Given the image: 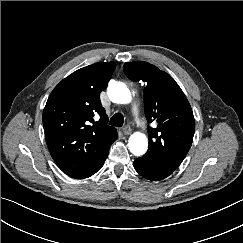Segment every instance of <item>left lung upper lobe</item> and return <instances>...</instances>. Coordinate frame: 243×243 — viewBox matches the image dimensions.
<instances>
[{
  "instance_id": "left-lung-upper-lobe-1",
  "label": "left lung upper lobe",
  "mask_w": 243,
  "mask_h": 243,
  "mask_svg": "<svg viewBox=\"0 0 243 243\" xmlns=\"http://www.w3.org/2000/svg\"><path fill=\"white\" fill-rule=\"evenodd\" d=\"M133 81L143 80L145 115L149 123V149L141 158L174 171L187 155L194 136L191 106L175 80L166 72L144 61L124 64Z\"/></svg>"
}]
</instances>
